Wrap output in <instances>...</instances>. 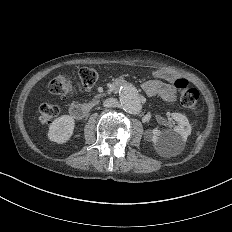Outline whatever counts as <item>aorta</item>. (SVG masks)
<instances>
[{"mask_svg": "<svg viewBox=\"0 0 232 232\" xmlns=\"http://www.w3.org/2000/svg\"><path fill=\"white\" fill-rule=\"evenodd\" d=\"M120 102L123 109L129 113L137 114L142 109L137 89L130 83H126L120 89Z\"/></svg>", "mask_w": 232, "mask_h": 232, "instance_id": "obj_1", "label": "aorta"}]
</instances>
